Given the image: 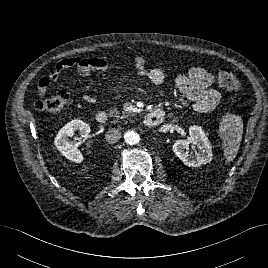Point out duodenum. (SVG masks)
I'll return each instance as SVG.
<instances>
[{"label": "duodenum", "mask_w": 268, "mask_h": 268, "mask_svg": "<svg viewBox=\"0 0 268 268\" xmlns=\"http://www.w3.org/2000/svg\"><path fill=\"white\" fill-rule=\"evenodd\" d=\"M164 118V113L159 110L151 111L144 118V125L146 127H155L159 125ZM98 124L105 125L109 122V117L104 112H97L94 116Z\"/></svg>", "instance_id": "1"}]
</instances>
